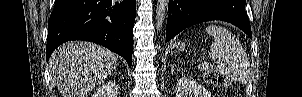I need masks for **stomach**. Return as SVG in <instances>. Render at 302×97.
I'll list each match as a JSON object with an SVG mask.
<instances>
[{
    "instance_id": "stomach-1",
    "label": "stomach",
    "mask_w": 302,
    "mask_h": 97,
    "mask_svg": "<svg viewBox=\"0 0 302 97\" xmlns=\"http://www.w3.org/2000/svg\"><path fill=\"white\" fill-rule=\"evenodd\" d=\"M174 48H176L179 51H183L185 49V43L177 42L174 44Z\"/></svg>"
}]
</instances>
